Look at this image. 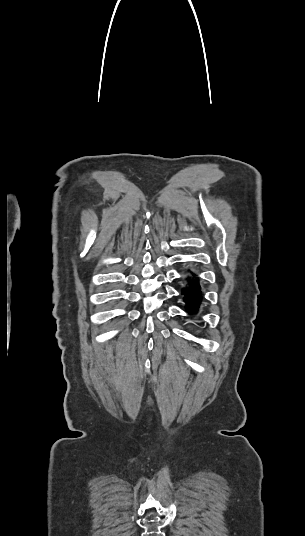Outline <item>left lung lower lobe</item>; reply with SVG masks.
<instances>
[{
  "label": "left lung lower lobe",
  "instance_id": "left-lung-lower-lobe-1",
  "mask_svg": "<svg viewBox=\"0 0 305 536\" xmlns=\"http://www.w3.org/2000/svg\"><path fill=\"white\" fill-rule=\"evenodd\" d=\"M192 275L195 276L193 273ZM188 281L189 286L182 289V295H184L183 299L186 302L187 311L196 313L202 299L199 279L197 277L189 278Z\"/></svg>",
  "mask_w": 305,
  "mask_h": 536
}]
</instances>
